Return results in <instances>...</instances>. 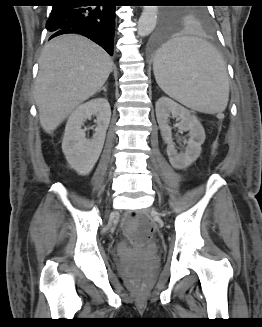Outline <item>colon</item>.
Segmentation results:
<instances>
[{
  "instance_id": "5ec220e1",
  "label": "colon",
  "mask_w": 262,
  "mask_h": 327,
  "mask_svg": "<svg viewBox=\"0 0 262 327\" xmlns=\"http://www.w3.org/2000/svg\"><path fill=\"white\" fill-rule=\"evenodd\" d=\"M124 228L136 243L147 242L153 235V224L144 214H130L124 223Z\"/></svg>"
}]
</instances>
